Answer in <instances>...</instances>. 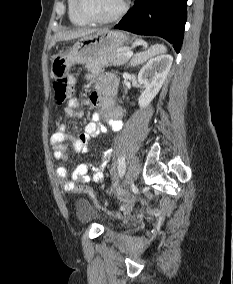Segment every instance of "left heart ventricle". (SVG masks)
I'll return each mask as SVG.
<instances>
[{"mask_svg": "<svg viewBox=\"0 0 233 284\" xmlns=\"http://www.w3.org/2000/svg\"><path fill=\"white\" fill-rule=\"evenodd\" d=\"M88 11L95 17L107 18L114 15L122 6L123 0H86Z\"/></svg>", "mask_w": 233, "mask_h": 284, "instance_id": "b2bd125f", "label": "left heart ventricle"}]
</instances>
